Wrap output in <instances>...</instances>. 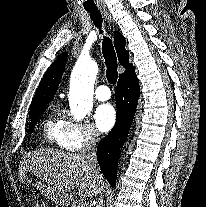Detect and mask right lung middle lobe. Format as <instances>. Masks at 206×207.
I'll return each instance as SVG.
<instances>
[{
  "label": "right lung middle lobe",
  "mask_w": 206,
  "mask_h": 207,
  "mask_svg": "<svg viewBox=\"0 0 206 207\" xmlns=\"http://www.w3.org/2000/svg\"><path fill=\"white\" fill-rule=\"evenodd\" d=\"M46 108H47V104H44L30 110V119H31L30 130L34 129L36 122L38 121L40 116L44 113Z\"/></svg>",
  "instance_id": "1"
}]
</instances>
